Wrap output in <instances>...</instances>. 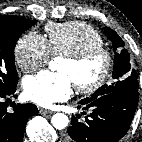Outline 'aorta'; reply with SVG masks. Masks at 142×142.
<instances>
[{
	"label": "aorta",
	"instance_id": "762f6f07",
	"mask_svg": "<svg viewBox=\"0 0 142 142\" xmlns=\"http://www.w3.org/2000/svg\"><path fill=\"white\" fill-rule=\"evenodd\" d=\"M56 61L57 60L51 61L49 63V68L51 70L56 69L55 67ZM68 122H69L68 117L63 113H56L52 116V119H51L52 125L54 126L55 129H58V130L64 129L68 125Z\"/></svg>",
	"mask_w": 142,
	"mask_h": 142
}]
</instances>
